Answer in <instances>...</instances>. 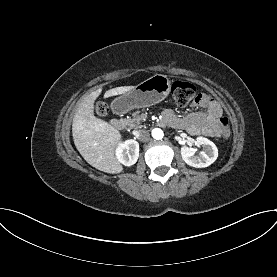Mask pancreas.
<instances>
[{"mask_svg":"<svg viewBox=\"0 0 277 277\" xmlns=\"http://www.w3.org/2000/svg\"><path fill=\"white\" fill-rule=\"evenodd\" d=\"M125 121H126L128 127L131 129H139V128L143 127L141 125L142 118L138 112H134L132 114V117L127 118Z\"/></svg>","mask_w":277,"mask_h":277,"instance_id":"1","label":"pancreas"}]
</instances>
